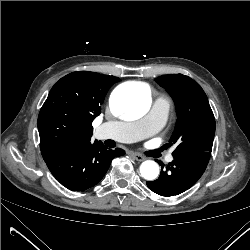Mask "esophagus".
Returning a JSON list of instances; mask_svg holds the SVG:
<instances>
[{"label": "esophagus", "instance_id": "1", "mask_svg": "<svg viewBox=\"0 0 250 250\" xmlns=\"http://www.w3.org/2000/svg\"><path fill=\"white\" fill-rule=\"evenodd\" d=\"M131 156H132L136 161H139V162H141V161H143V160L145 159L142 155L137 154V153H131Z\"/></svg>", "mask_w": 250, "mask_h": 250}]
</instances>
